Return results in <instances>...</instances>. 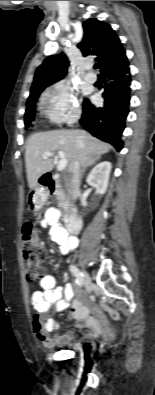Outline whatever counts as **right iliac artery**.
Listing matches in <instances>:
<instances>
[{
    "label": "right iliac artery",
    "instance_id": "1",
    "mask_svg": "<svg viewBox=\"0 0 155 395\" xmlns=\"http://www.w3.org/2000/svg\"><path fill=\"white\" fill-rule=\"evenodd\" d=\"M70 271L71 273L75 276L76 278V284L79 287L83 286V281H82V273L78 270V268L74 265H70Z\"/></svg>",
    "mask_w": 155,
    "mask_h": 395
}]
</instances>
